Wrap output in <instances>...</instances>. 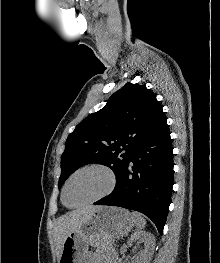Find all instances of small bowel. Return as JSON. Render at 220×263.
<instances>
[{
    "instance_id": "small-bowel-1",
    "label": "small bowel",
    "mask_w": 220,
    "mask_h": 263,
    "mask_svg": "<svg viewBox=\"0 0 220 263\" xmlns=\"http://www.w3.org/2000/svg\"><path fill=\"white\" fill-rule=\"evenodd\" d=\"M97 262L98 261L92 255H88L87 260L85 261V263H97Z\"/></svg>"
}]
</instances>
